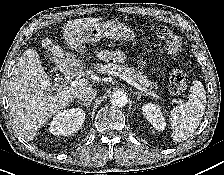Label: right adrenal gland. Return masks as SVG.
<instances>
[{
    "label": "right adrenal gland",
    "instance_id": "obj_1",
    "mask_svg": "<svg viewBox=\"0 0 224 175\" xmlns=\"http://www.w3.org/2000/svg\"><path fill=\"white\" fill-rule=\"evenodd\" d=\"M78 103H79L80 105H83V106L88 107V106L91 105L92 101L90 100V101H88V102H83V103L78 101Z\"/></svg>",
    "mask_w": 224,
    "mask_h": 175
}]
</instances>
